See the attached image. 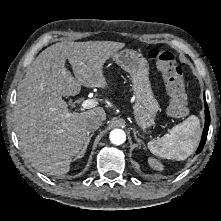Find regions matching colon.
<instances>
[{
    "instance_id": "colon-1",
    "label": "colon",
    "mask_w": 221,
    "mask_h": 221,
    "mask_svg": "<svg viewBox=\"0 0 221 221\" xmlns=\"http://www.w3.org/2000/svg\"><path fill=\"white\" fill-rule=\"evenodd\" d=\"M148 57L155 62L163 77L167 94L170 97L169 113L175 117L185 116L188 112V97L183 72L176 64L174 55L154 48L148 51Z\"/></svg>"
}]
</instances>
